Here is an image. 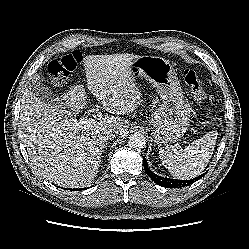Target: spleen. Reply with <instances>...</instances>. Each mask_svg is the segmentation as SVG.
<instances>
[{"mask_svg": "<svg viewBox=\"0 0 249 249\" xmlns=\"http://www.w3.org/2000/svg\"><path fill=\"white\" fill-rule=\"evenodd\" d=\"M217 135L216 130L209 131L184 149L162 147L159 150L162 164L177 179H191L200 175L213 155Z\"/></svg>", "mask_w": 249, "mask_h": 249, "instance_id": "obj_1", "label": "spleen"}]
</instances>
